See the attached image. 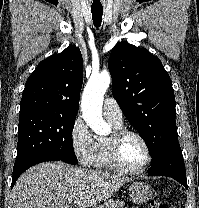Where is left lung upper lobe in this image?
Instances as JSON below:
<instances>
[{
	"label": "left lung upper lobe",
	"mask_w": 199,
	"mask_h": 208,
	"mask_svg": "<svg viewBox=\"0 0 199 208\" xmlns=\"http://www.w3.org/2000/svg\"><path fill=\"white\" fill-rule=\"evenodd\" d=\"M108 68L113 97L146 142L153 164L178 143L171 79L156 56L127 42L113 48Z\"/></svg>",
	"instance_id": "5c2ea615"
}]
</instances>
